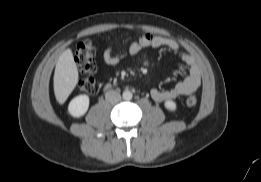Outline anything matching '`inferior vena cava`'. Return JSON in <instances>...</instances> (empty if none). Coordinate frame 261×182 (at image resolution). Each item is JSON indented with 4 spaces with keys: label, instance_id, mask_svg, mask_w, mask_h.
Listing matches in <instances>:
<instances>
[{
    "label": "inferior vena cava",
    "instance_id": "1",
    "mask_svg": "<svg viewBox=\"0 0 261 182\" xmlns=\"http://www.w3.org/2000/svg\"><path fill=\"white\" fill-rule=\"evenodd\" d=\"M106 101L115 104L121 100V95L113 90L107 91L105 94Z\"/></svg>",
    "mask_w": 261,
    "mask_h": 182
}]
</instances>
